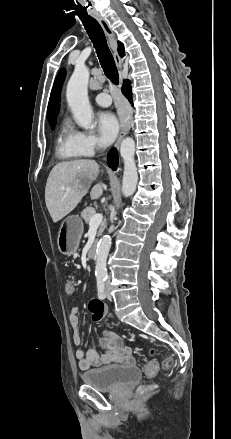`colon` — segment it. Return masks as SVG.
Instances as JSON below:
<instances>
[{
	"mask_svg": "<svg viewBox=\"0 0 231 439\" xmlns=\"http://www.w3.org/2000/svg\"><path fill=\"white\" fill-rule=\"evenodd\" d=\"M65 292L68 296H74L76 293V286L75 283L72 280H68L65 283ZM89 311L92 315V319L93 321L99 322L101 321L105 315H106V307L104 305V303L100 300H92L89 303ZM151 355L155 354V350H151ZM174 365V360L172 357H166L163 360V367L165 369H170L172 368ZM158 370L157 364L155 362H150L147 365H145L144 367V374L147 377H153L156 375ZM146 388L141 386L139 387L138 391L142 392L144 391Z\"/></svg>",
	"mask_w": 231,
	"mask_h": 439,
	"instance_id": "colon-1",
	"label": "colon"
}]
</instances>
